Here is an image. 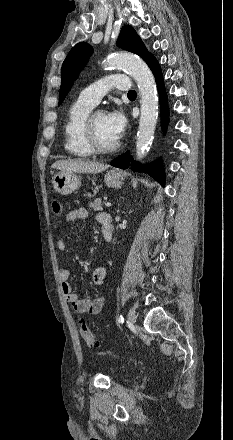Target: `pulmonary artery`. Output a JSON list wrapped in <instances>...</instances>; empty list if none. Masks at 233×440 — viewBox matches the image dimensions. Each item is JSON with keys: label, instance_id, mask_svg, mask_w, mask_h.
Returning <instances> with one entry per match:
<instances>
[{"label": "pulmonary artery", "instance_id": "1", "mask_svg": "<svg viewBox=\"0 0 233 440\" xmlns=\"http://www.w3.org/2000/svg\"><path fill=\"white\" fill-rule=\"evenodd\" d=\"M112 88L128 91L130 83L127 75L113 74L101 78L88 87H86L79 95V100L91 106H96L100 99Z\"/></svg>", "mask_w": 233, "mask_h": 440}]
</instances>
